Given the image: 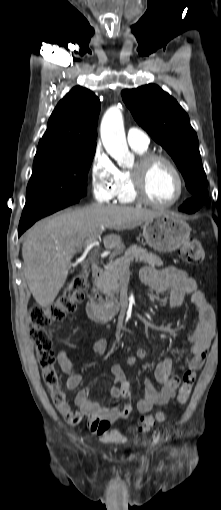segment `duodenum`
Listing matches in <instances>:
<instances>
[{"mask_svg":"<svg viewBox=\"0 0 221 510\" xmlns=\"http://www.w3.org/2000/svg\"><path fill=\"white\" fill-rule=\"evenodd\" d=\"M91 271L94 285L86 303V312L92 321L105 323L120 310V305L116 301L106 302L100 295L97 283L102 276L103 268L99 264H94Z\"/></svg>","mask_w":221,"mask_h":510,"instance_id":"obj_1","label":"duodenum"}]
</instances>
